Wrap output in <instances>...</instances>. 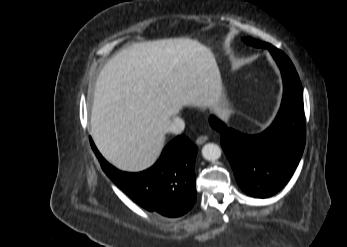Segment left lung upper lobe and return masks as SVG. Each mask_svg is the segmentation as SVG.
<instances>
[{
    "label": "left lung upper lobe",
    "instance_id": "left-lung-upper-lobe-1",
    "mask_svg": "<svg viewBox=\"0 0 347 247\" xmlns=\"http://www.w3.org/2000/svg\"><path fill=\"white\" fill-rule=\"evenodd\" d=\"M246 43L255 46V47H263V48H268L269 50H271V48L273 47L272 45L265 43V42H260L258 40H254L251 37H247L245 39Z\"/></svg>",
    "mask_w": 347,
    "mask_h": 247
}]
</instances>
